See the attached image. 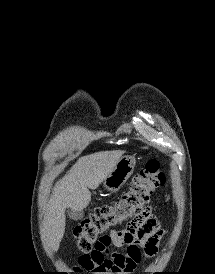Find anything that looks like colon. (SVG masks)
Wrapping results in <instances>:
<instances>
[{
  "label": "colon",
  "instance_id": "colon-1",
  "mask_svg": "<svg viewBox=\"0 0 215 274\" xmlns=\"http://www.w3.org/2000/svg\"><path fill=\"white\" fill-rule=\"evenodd\" d=\"M165 182L160 163L156 159L148 160L134 176L127 192L113 204L97 207L74 228L78 248L84 253L90 252L108 230L141 216L154 190Z\"/></svg>",
  "mask_w": 215,
  "mask_h": 274
}]
</instances>
